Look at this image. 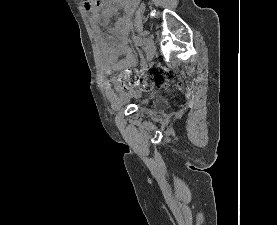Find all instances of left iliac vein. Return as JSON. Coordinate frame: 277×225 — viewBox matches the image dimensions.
Returning <instances> with one entry per match:
<instances>
[{"instance_id": "obj_1", "label": "left iliac vein", "mask_w": 277, "mask_h": 225, "mask_svg": "<svg viewBox=\"0 0 277 225\" xmlns=\"http://www.w3.org/2000/svg\"><path fill=\"white\" fill-rule=\"evenodd\" d=\"M144 45H145V52H146V58L148 62H151L156 51L155 42L151 38H145L144 39Z\"/></svg>"}]
</instances>
